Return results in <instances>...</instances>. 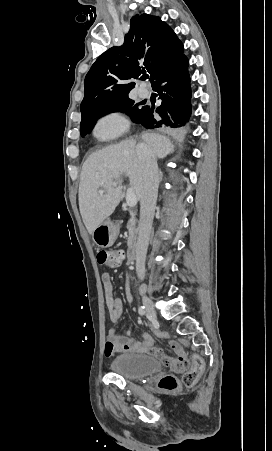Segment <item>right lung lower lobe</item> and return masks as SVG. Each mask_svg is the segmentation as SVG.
I'll use <instances>...</instances> for the list:
<instances>
[{
	"mask_svg": "<svg viewBox=\"0 0 272 451\" xmlns=\"http://www.w3.org/2000/svg\"><path fill=\"white\" fill-rule=\"evenodd\" d=\"M152 88L158 92L161 105L156 112L160 119L153 117V109L145 107L141 119L136 122L145 128L185 130L191 116V89L188 73V59L179 55L169 65L164 67L152 82Z\"/></svg>",
	"mask_w": 272,
	"mask_h": 451,
	"instance_id": "obj_1",
	"label": "right lung lower lobe"
}]
</instances>
